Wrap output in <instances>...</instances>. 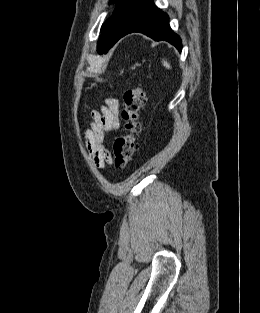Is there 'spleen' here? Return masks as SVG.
<instances>
[{"label": "spleen", "instance_id": "obj_1", "mask_svg": "<svg viewBox=\"0 0 260 313\" xmlns=\"http://www.w3.org/2000/svg\"><path fill=\"white\" fill-rule=\"evenodd\" d=\"M163 65H164L167 69H170V68H171L170 64H169L167 61H163Z\"/></svg>", "mask_w": 260, "mask_h": 313}]
</instances>
